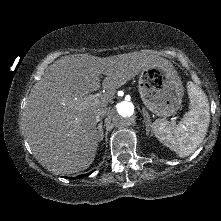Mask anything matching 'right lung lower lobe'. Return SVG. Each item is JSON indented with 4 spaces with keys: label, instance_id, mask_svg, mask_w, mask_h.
<instances>
[{
    "label": "right lung lower lobe",
    "instance_id": "obj_1",
    "mask_svg": "<svg viewBox=\"0 0 221 221\" xmlns=\"http://www.w3.org/2000/svg\"><path fill=\"white\" fill-rule=\"evenodd\" d=\"M92 173V172H91ZM91 173H88V174H84V175H81V176H77V177H67L68 179H77V178H82V177H85V176H88L90 175Z\"/></svg>",
    "mask_w": 221,
    "mask_h": 221
}]
</instances>
